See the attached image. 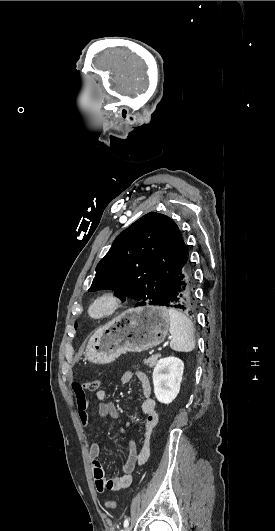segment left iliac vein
<instances>
[{
  "label": "left iliac vein",
  "mask_w": 275,
  "mask_h": 531,
  "mask_svg": "<svg viewBox=\"0 0 275 531\" xmlns=\"http://www.w3.org/2000/svg\"><path fill=\"white\" fill-rule=\"evenodd\" d=\"M125 531H130V528L125 529Z\"/></svg>",
  "instance_id": "left-iliac-vein-1"
}]
</instances>
